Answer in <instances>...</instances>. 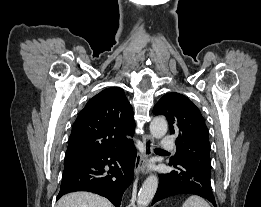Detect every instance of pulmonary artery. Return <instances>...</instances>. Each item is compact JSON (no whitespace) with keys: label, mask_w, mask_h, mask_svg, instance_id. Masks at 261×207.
Listing matches in <instances>:
<instances>
[{"label":"pulmonary artery","mask_w":261,"mask_h":207,"mask_svg":"<svg viewBox=\"0 0 261 207\" xmlns=\"http://www.w3.org/2000/svg\"><path fill=\"white\" fill-rule=\"evenodd\" d=\"M160 146L163 150H172L174 148V142L169 136H164L160 142Z\"/></svg>","instance_id":"1"}]
</instances>
